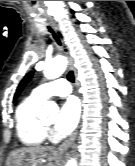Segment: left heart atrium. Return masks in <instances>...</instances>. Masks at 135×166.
<instances>
[{"label": "left heart atrium", "instance_id": "obj_1", "mask_svg": "<svg viewBox=\"0 0 135 166\" xmlns=\"http://www.w3.org/2000/svg\"><path fill=\"white\" fill-rule=\"evenodd\" d=\"M80 116V105L77 99L66 100L57 117L55 130L61 135L70 134L77 126Z\"/></svg>", "mask_w": 135, "mask_h": 166}]
</instances>
